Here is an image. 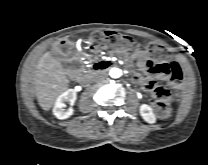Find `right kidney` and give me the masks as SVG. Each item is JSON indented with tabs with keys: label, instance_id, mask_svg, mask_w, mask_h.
<instances>
[{
	"label": "right kidney",
	"instance_id": "right-kidney-1",
	"mask_svg": "<svg viewBox=\"0 0 208 165\" xmlns=\"http://www.w3.org/2000/svg\"><path fill=\"white\" fill-rule=\"evenodd\" d=\"M76 91L74 89H68L64 93H62L55 101V105L53 108V114L58 119H66L69 118L73 114V109H66L65 102L69 101L71 105L74 104L76 100Z\"/></svg>",
	"mask_w": 208,
	"mask_h": 165
}]
</instances>
